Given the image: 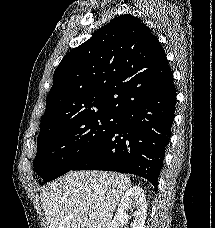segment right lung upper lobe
<instances>
[{
  "mask_svg": "<svg viewBox=\"0 0 215 228\" xmlns=\"http://www.w3.org/2000/svg\"><path fill=\"white\" fill-rule=\"evenodd\" d=\"M173 73L157 37L123 14L62 59L40 129L101 113L119 114L159 92Z\"/></svg>",
  "mask_w": 215,
  "mask_h": 228,
  "instance_id": "cb5924a9",
  "label": "right lung upper lobe"
}]
</instances>
